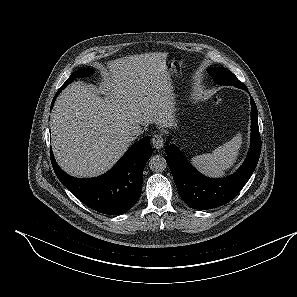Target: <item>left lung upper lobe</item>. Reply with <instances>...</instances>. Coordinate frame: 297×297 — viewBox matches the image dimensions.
I'll use <instances>...</instances> for the list:
<instances>
[{
	"label": "left lung upper lobe",
	"instance_id": "left-lung-upper-lobe-1",
	"mask_svg": "<svg viewBox=\"0 0 297 297\" xmlns=\"http://www.w3.org/2000/svg\"><path fill=\"white\" fill-rule=\"evenodd\" d=\"M208 74H210L215 83L221 85H230L235 86L241 89L247 88L242 82H240L236 76L227 69L212 67L207 70Z\"/></svg>",
	"mask_w": 297,
	"mask_h": 297
}]
</instances>
